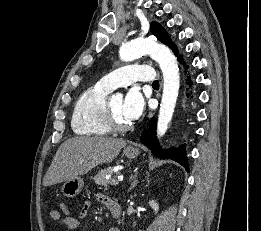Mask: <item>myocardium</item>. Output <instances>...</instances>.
<instances>
[{
  "label": "myocardium",
  "mask_w": 261,
  "mask_h": 231,
  "mask_svg": "<svg viewBox=\"0 0 261 231\" xmlns=\"http://www.w3.org/2000/svg\"><path fill=\"white\" fill-rule=\"evenodd\" d=\"M104 120L106 125L111 129V131L114 132H125L133 127V124L131 122L123 124L118 121L112 110L110 101H106L105 104Z\"/></svg>",
  "instance_id": "myocardium-1"
}]
</instances>
